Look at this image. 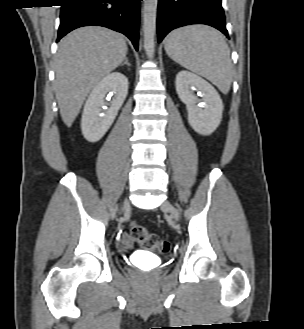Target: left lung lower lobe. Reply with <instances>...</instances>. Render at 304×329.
<instances>
[{"instance_id": "0a47b994", "label": "left lung lower lobe", "mask_w": 304, "mask_h": 329, "mask_svg": "<svg viewBox=\"0 0 304 329\" xmlns=\"http://www.w3.org/2000/svg\"><path fill=\"white\" fill-rule=\"evenodd\" d=\"M206 24L228 37L221 0H158V42L173 29Z\"/></svg>"}]
</instances>
